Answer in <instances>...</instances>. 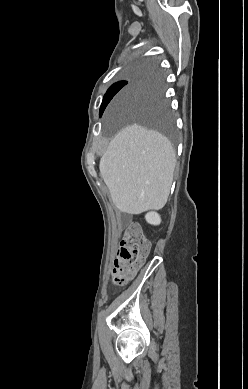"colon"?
<instances>
[{"instance_id": "1", "label": "colon", "mask_w": 248, "mask_h": 389, "mask_svg": "<svg viewBox=\"0 0 248 389\" xmlns=\"http://www.w3.org/2000/svg\"><path fill=\"white\" fill-rule=\"evenodd\" d=\"M150 250V243L136 223L130 224L120 242L112 277L117 286L125 285L136 274Z\"/></svg>"}]
</instances>
